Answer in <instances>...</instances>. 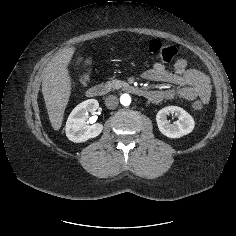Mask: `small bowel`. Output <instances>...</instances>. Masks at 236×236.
I'll return each mask as SVG.
<instances>
[{"instance_id": "obj_1", "label": "small bowel", "mask_w": 236, "mask_h": 236, "mask_svg": "<svg viewBox=\"0 0 236 236\" xmlns=\"http://www.w3.org/2000/svg\"><path fill=\"white\" fill-rule=\"evenodd\" d=\"M143 78L153 82H166L178 85L179 88L168 90H151L149 100L160 103L165 100L182 98L187 101L200 100L207 104L211 96L209 78L201 71L188 67L185 58L176 61L172 70L163 63L157 62L143 72Z\"/></svg>"}]
</instances>
